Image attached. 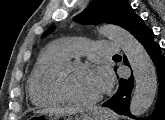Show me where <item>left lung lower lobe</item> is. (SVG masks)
<instances>
[{
  "label": "left lung lower lobe",
  "instance_id": "0a47b994",
  "mask_svg": "<svg viewBox=\"0 0 165 120\" xmlns=\"http://www.w3.org/2000/svg\"><path fill=\"white\" fill-rule=\"evenodd\" d=\"M130 33L143 45L154 62L159 76V93L155 110L152 116L146 120H163L165 118V57L162 55L160 45L154 41L153 31L146 26L140 17L136 20ZM124 63L130 66L126 57H124ZM119 83L117 93L104 102L103 106L118 114L134 117L129 111L130 95L134 85L133 76L131 75L128 79L121 78Z\"/></svg>",
  "mask_w": 165,
  "mask_h": 120
}]
</instances>
